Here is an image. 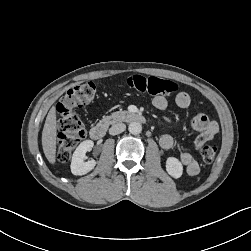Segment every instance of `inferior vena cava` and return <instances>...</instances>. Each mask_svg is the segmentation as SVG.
Returning a JSON list of instances; mask_svg holds the SVG:
<instances>
[{
    "label": "inferior vena cava",
    "mask_w": 251,
    "mask_h": 251,
    "mask_svg": "<svg viewBox=\"0 0 251 251\" xmlns=\"http://www.w3.org/2000/svg\"><path fill=\"white\" fill-rule=\"evenodd\" d=\"M125 129H126V125L124 123H116L112 125L111 128L109 129V134L117 135L124 132Z\"/></svg>",
    "instance_id": "inferior-vena-cava-1"
}]
</instances>
